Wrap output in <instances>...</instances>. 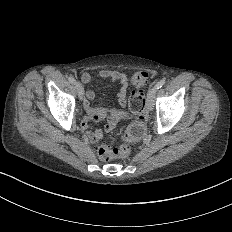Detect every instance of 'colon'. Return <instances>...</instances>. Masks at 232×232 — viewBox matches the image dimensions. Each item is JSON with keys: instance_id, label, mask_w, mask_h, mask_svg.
<instances>
[{"instance_id": "1", "label": "colon", "mask_w": 232, "mask_h": 232, "mask_svg": "<svg viewBox=\"0 0 232 232\" xmlns=\"http://www.w3.org/2000/svg\"><path fill=\"white\" fill-rule=\"evenodd\" d=\"M149 75V71H133V74L130 76V81L132 83L131 107L136 112L141 111L145 104L146 86H151V81H144L143 76ZM143 135L144 127L138 122H131L125 128V137L130 143L141 142ZM131 152V147L124 145L118 148H102L99 150L98 155L102 159H119L130 155Z\"/></svg>"}]
</instances>
